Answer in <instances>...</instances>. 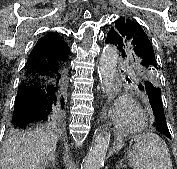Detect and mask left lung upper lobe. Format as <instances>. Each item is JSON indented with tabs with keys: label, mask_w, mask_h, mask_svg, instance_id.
Returning a JSON list of instances; mask_svg holds the SVG:
<instances>
[{
	"label": "left lung upper lobe",
	"mask_w": 177,
	"mask_h": 169,
	"mask_svg": "<svg viewBox=\"0 0 177 169\" xmlns=\"http://www.w3.org/2000/svg\"><path fill=\"white\" fill-rule=\"evenodd\" d=\"M106 42L118 46L122 57L134 60L144 79L158 86L159 74L153 46L138 23L120 17L108 32ZM138 87L140 89V84Z\"/></svg>",
	"instance_id": "obj_1"
}]
</instances>
